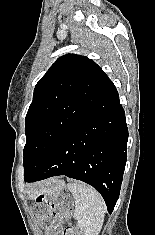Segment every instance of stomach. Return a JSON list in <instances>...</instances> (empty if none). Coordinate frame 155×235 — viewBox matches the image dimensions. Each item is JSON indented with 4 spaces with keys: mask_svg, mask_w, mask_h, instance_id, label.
Returning <instances> with one entry per match:
<instances>
[{
    "mask_svg": "<svg viewBox=\"0 0 155 235\" xmlns=\"http://www.w3.org/2000/svg\"><path fill=\"white\" fill-rule=\"evenodd\" d=\"M65 188V183L59 179H50L28 192L31 199H36L39 195H48L58 193Z\"/></svg>",
    "mask_w": 155,
    "mask_h": 235,
    "instance_id": "stomach-1",
    "label": "stomach"
}]
</instances>
